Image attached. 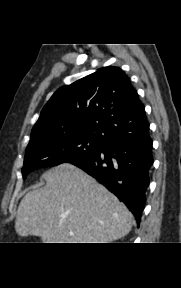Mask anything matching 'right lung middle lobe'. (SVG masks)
<instances>
[{
    "label": "right lung middle lobe",
    "mask_w": 181,
    "mask_h": 288,
    "mask_svg": "<svg viewBox=\"0 0 181 288\" xmlns=\"http://www.w3.org/2000/svg\"><path fill=\"white\" fill-rule=\"evenodd\" d=\"M104 147V143L86 135H50L29 142L24 166L23 178L29 172L64 162L72 163L86 156L96 154Z\"/></svg>",
    "instance_id": "right-lung-middle-lobe-1"
}]
</instances>
